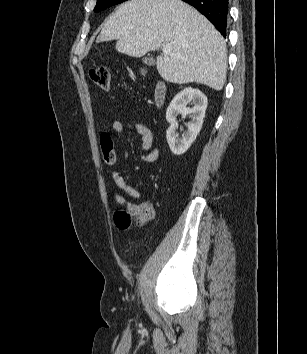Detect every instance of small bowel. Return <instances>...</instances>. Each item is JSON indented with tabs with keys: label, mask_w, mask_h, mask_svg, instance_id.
I'll return each mask as SVG.
<instances>
[{
	"label": "small bowel",
	"mask_w": 307,
	"mask_h": 354,
	"mask_svg": "<svg viewBox=\"0 0 307 354\" xmlns=\"http://www.w3.org/2000/svg\"><path fill=\"white\" fill-rule=\"evenodd\" d=\"M109 129L113 130L116 133L134 131L139 134L142 140L140 158L144 162L153 163L159 158L160 149L158 147H153L154 135L150 128L147 127L145 124L136 121H131L127 123L121 121H113L109 124ZM100 143L105 161L109 165H114L116 163V154L113 150L112 139L108 131H103L101 133ZM112 179L114 184L126 195L130 196L133 199L141 198L142 193L127 184L124 178L115 169L112 171ZM117 200L119 202L123 201V199L120 197H118Z\"/></svg>",
	"instance_id": "1"
}]
</instances>
